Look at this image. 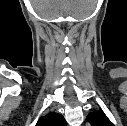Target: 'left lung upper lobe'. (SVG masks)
I'll list each match as a JSON object with an SVG mask.
<instances>
[{"mask_svg":"<svg viewBox=\"0 0 127 126\" xmlns=\"http://www.w3.org/2000/svg\"><path fill=\"white\" fill-rule=\"evenodd\" d=\"M86 120L91 124V126H114L101 110L89 113Z\"/></svg>","mask_w":127,"mask_h":126,"instance_id":"5c2ea615","label":"left lung upper lobe"}]
</instances>
